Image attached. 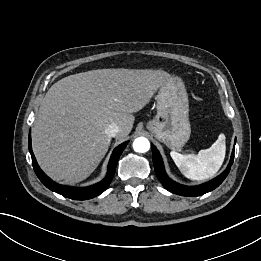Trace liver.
<instances>
[{
  "label": "liver",
  "mask_w": 261,
  "mask_h": 261,
  "mask_svg": "<svg viewBox=\"0 0 261 261\" xmlns=\"http://www.w3.org/2000/svg\"><path fill=\"white\" fill-rule=\"evenodd\" d=\"M171 79L163 70L98 69L54 83L32 129L33 151L42 170L55 181L86 179L110 146L107 126L117 124L116 137L126 138L133 113Z\"/></svg>",
  "instance_id": "liver-1"
}]
</instances>
